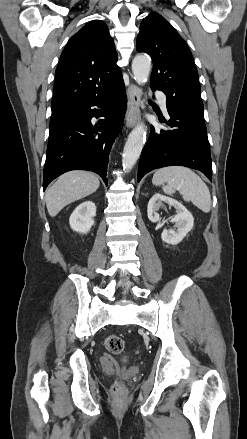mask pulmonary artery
<instances>
[{"label": "pulmonary artery", "instance_id": "obj_1", "mask_svg": "<svg viewBox=\"0 0 247 439\" xmlns=\"http://www.w3.org/2000/svg\"><path fill=\"white\" fill-rule=\"evenodd\" d=\"M161 107L164 112H167V106H166V96L162 92L157 93Z\"/></svg>", "mask_w": 247, "mask_h": 439}]
</instances>
